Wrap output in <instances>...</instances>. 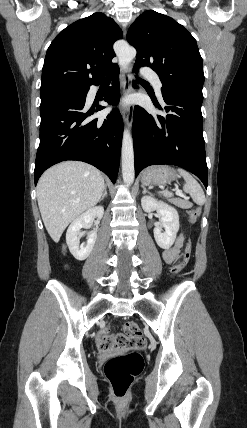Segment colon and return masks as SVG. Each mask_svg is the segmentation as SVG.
<instances>
[{"label":"colon","mask_w":247,"mask_h":428,"mask_svg":"<svg viewBox=\"0 0 247 428\" xmlns=\"http://www.w3.org/2000/svg\"><path fill=\"white\" fill-rule=\"evenodd\" d=\"M191 222H196L200 215L198 207L192 208L189 212ZM192 253V244L188 242L184 248L181 259L173 265L171 272L178 275L187 265ZM147 341L140 328L134 322H128L123 326L120 333L112 334L107 329L103 332L99 340V348L102 350L114 347L129 348L133 351L123 355L111 357L104 366L105 376L108 379L113 394L117 398H123L135 377L139 375L143 367V361L138 350L146 347Z\"/></svg>","instance_id":"1"}]
</instances>
